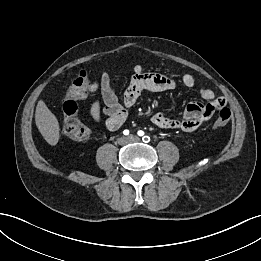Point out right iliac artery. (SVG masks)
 Masks as SVG:
<instances>
[{"instance_id":"1","label":"right iliac artery","mask_w":261,"mask_h":261,"mask_svg":"<svg viewBox=\"0 0 261 261\" xmlns=\"http://www.w3.org/2000/svg\"><path fill=\"white\" fill-rule=\"evenodd\" d=\"M123 134H124V135H129V130H124V131H123Z\"/></svg>"}]
</instances>
